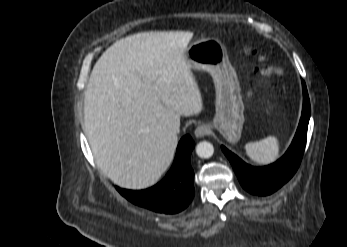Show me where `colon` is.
Masks as SVG:
<instances>
[{"label": "colon", "mask_w": 347, "mask_h": 247, "mask_svg": "<svg viewBox=\"0 0 347 247\" xmlns=\"http://www.w3.org/2000/svg\"><path fill=\"white\" fill-rule=\"evenodd\" d=\"M244 52L246 54L251 53V46L249 44L244 46ZM280 72V68L277 65L272 64L269 61L268 56L260 57L253 69V75L260 76L262 78H277L280 76Z\"/></svg>", "instance_id": "colon-1"}]
</instances>
